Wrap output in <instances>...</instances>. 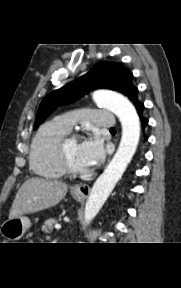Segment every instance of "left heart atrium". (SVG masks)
<instances>
[{
  "label": "left heart atrium",
  "instance_id": "1",
  "mask_svg": "<svg viewBox=\"0 0 181 288\" xmlns=\"http://www.w3.org/2000/svg\"><path fill=\"white\" fill-rule=\"evenodd\" d=\"M78 153L86 168L101 162L105 154L102 141L96 134L89 135L79 144Z\"/></svg>",
  "mask_w": 181,
  "mask_h": 288
}]
</instances>
